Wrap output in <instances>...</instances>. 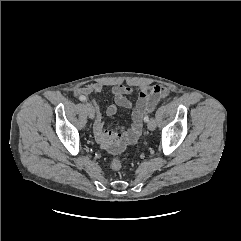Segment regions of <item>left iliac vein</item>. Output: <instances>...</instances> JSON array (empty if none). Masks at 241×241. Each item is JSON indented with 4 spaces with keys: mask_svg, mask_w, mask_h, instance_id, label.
<instances>
[{
    "mask_svg": "<svg viewBox=\"0 0 241 241\" xmlns=\"http://www.w3.org/2000/svg\"><path fill=\"white\" fill-rule=\"evenodd\" d=\"M147 127H148V129L151 130V131L155 130V128H156V121H155L154 118H151V119L148 121Z\"/></svg>",
    "mask_w": 241,
    "mask_h": 241,
    "instance_id": "left-iliac-vein-1",
    "label": "left iliac vein"
}]
</instances>
